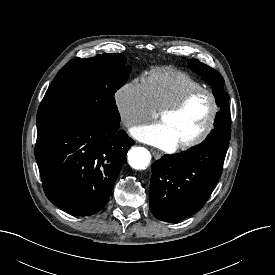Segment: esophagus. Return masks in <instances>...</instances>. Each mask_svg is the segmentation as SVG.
<instances>
[{
  "instance_id": "obj_1",
  "label": "esophagus",
  "mask_w": 275,
  "mask_h": 275,
  "mask_svg": "<svg viewBox=\"0 0 275 275\" xmlns=\"http://www.w3.org/2000/svg\"><path fill=\"white\" fill-rule=\"evenodd\" d=\"M151 151H152V154H153V156H154L155 159L158 160V159L161 158V153L159 151L154 150V149H152Z\"/></svg>"
}]
</instances>
